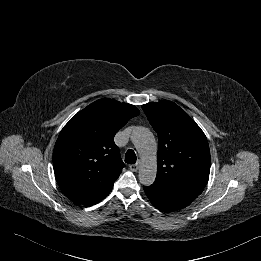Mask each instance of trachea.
<instances>
[{"instance_id": "3493384b", "label": "trachea", "mask_w": 261, "mask_h": 261, "mask_svg": "<svg viewBox=\"0 0 261 261\" xmlns=\"http://www.w3.org/2000/svg\"><path fill=\"white\" fill-rule=\"evenodd\" d=\"M137 160L136 154L132 149H129L125 154V162L127 164H135Z\"/></svg>"}]
</instances>
